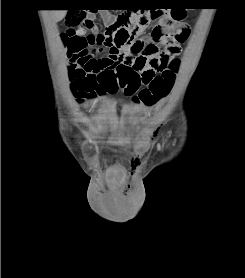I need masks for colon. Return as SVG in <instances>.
<instances>
[{"instance_id": "5ec220e1", "label": "colon", "mask_w": 245, "mask_h": 278, "mask_svg": "<svg viewBox=\"0 0 245 278\" xmlns=\"http://www.w3.org/2000/svg\"><path fill=\"white\" fill-rule=\"evenodd\" d=\"M160 16L158 10H142L123 12L116 22L109 26L103 33L95 38L88 36L81 38L74 34L77 30H89L93 24L86 18V13L81 10H73L67 13L64 19L66 31L61 34V41L66 49V56L69 61H74L80 56L93 52L94 43L98 45L111 44L113 48H126L129 52H141L156 57L162 54V50L155 44L145 45L135 35L141 27L149 26ZM174 20H182L185 13L182 10H173ZM155 38L165 37L167 50L176 53L186 42V36L175 29L164 28L155 30ZM84 64V63H83ZM179 60L174 58L169 66L162 72L156 73L147 70L142 75L129 73L127 77H121L118 85L109 87L110 93H117L121 90L125 95L132 96L137 103L146 106H153L163 100L170 93L178 72ZM90 64L81 67H69V82L72 94L78 104L92 98L93 80L88 74ZM145 87L140 89V84ZM150 145L142 142L137 147V153L146 155L150 152Z\"/></svg>"}]
</instances>
